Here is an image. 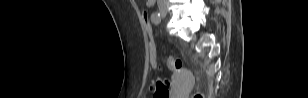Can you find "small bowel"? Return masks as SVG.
I'll return each mask as SVG.
<instances>
[{
  "mask_svg": "<svg viewBox=\"0 0 308 98\" xmlns=\"http://www.w3.org/2000/svg\"><path fill=\"white\" fill-rule=\"evenodd\" d=\"M155 4V1L154 0H148L146 1V7L147 8H152ZM147 15V14H146Z\"/></svg>",
  "mask_w": 308,
  "mask_h": 98,
  "instance_id": "1",
  "label": "small bowel"
}]
</instances>
